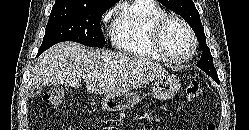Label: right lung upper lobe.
<instances>
[{"mask_svg": "<svg viewBox=\"0 0 249 130\" xmlns=\"http://www.w3.org/2000/svg\"><path fill=\"white\" fill-rule=\"evenodd\" d=\"M118 0H56V5H70L84 8L112 7Z\"/></svg>", "mask_w": 249, "mask_h": 130, "instance_id": "obj_1", "label": "right lung upper lobe"}]
</instances>
